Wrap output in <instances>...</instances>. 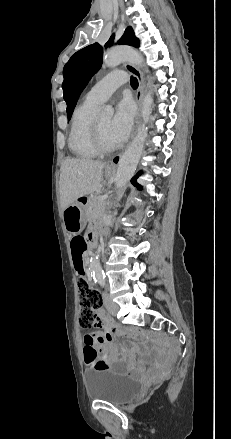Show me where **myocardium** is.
I'll return each mask as SVG.
<instances>
[{
	"instance_id": "f54148a6",
	"label": "myocardium",
	"mask_w": 231,
	"mask_h": 439,
	"mask_svg": "<svg viewBox=\"0 0 231 439\" xmlns=\"http://www.w3.org/2000/svg\"><path fill=\"white\" fill-rule=\"evenodd\" d=\"M91 136H92L93 145L98 153H103V154L111 153L118 148L117 145L109 146L104 142L100 131L98 120L95 117L92 122Z\"/></svg>"
}]
</instances>
